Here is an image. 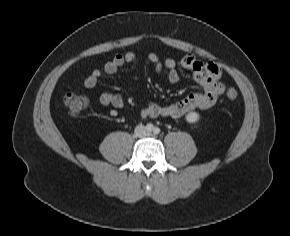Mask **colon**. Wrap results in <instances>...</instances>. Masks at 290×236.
I'll list each match as a JSON object with an SVG mask.
<instances>
[{
	"label": "colon",
	"instance_id": "1",
	"mask_svg": "<svg viewBox=\"0 0 290 236\" xmlns=\"http://www.w3.org/2000/svg\"><path fill=\"white\" fill-rule=\"evenodd\" d=\"M226 97L229 100H235L238 97L237 90L234 88L227 89ZM64 104L71 116H79L88 108L89 100L84 94L68 93L64 96Z\"/></svg>",
	"mask_w": 290,
	"mask_h": 236
}]
</instances>
